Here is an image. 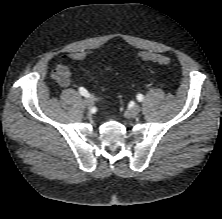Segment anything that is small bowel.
<instances>
[{
    "instance_id": "c3829d8e",
    "label": "small bowel",
    "mask_w": 222,
    "mask_h": 219,
    "mask_svg": "<svg viewBox=\"0 0 222 219\" xmlns=\"http://www.w3.org/2000/svg\"><path fill=\"white\" fill-rule=\"evenodd\" d=\"M89 54L90 53L87 51H77L69 55H63L60 62L55 66L52 72V77L61 86H69L72 83V71L67 65L64 64V61L71 59L74 62H82L89 56Z\"/></svg>"
}]
</instances>
